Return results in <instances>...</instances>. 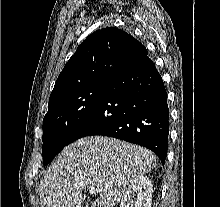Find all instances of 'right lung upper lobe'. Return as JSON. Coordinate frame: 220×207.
<instances>
[{
    "instance_id": "right-lung-upper-lobe-1",
    "label": "right lung upper lobe",
    "mask_w": 220,
    "mask_h": 207,
    "mask_svg": "<svg viewBox=\"0 0 220 207\" xmlns=\"http://www.w3.org/2000/svg\"><path fill=\"white\" fill-rule=\"evenodd\" d=\"M147 54L144 45L121 29L109 27L97 30L78 46L66 63L49 101L80 87L108 81Z\"/></svg>"
}]
</instances>
